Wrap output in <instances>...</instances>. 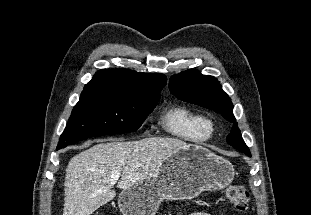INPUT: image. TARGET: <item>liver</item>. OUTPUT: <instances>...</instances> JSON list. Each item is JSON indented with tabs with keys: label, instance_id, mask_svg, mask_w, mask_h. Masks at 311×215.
<instances>
[{
	"label": "liver",
	"instance_id": "liver-1",
	"mask_svg": "<svg viewBox=\"0 0 311 215\" xmlns=\"http://www.w3.org/2000/svg\"><path fill=\"white\" fill-rule=\"evenodd\" d=\"M185 146L179 139L150 137L102 142L80 152L66 168L63 215H91L115 198L112 173L120 172L117 188L124 190L150 176Z\"/></svg>",
	"mask_w": 311,
	"mask_h": 215
}]
</instances>
